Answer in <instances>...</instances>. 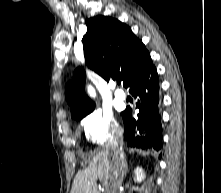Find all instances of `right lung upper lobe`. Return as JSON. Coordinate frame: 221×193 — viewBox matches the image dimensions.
Here are the masks:
<instances>
[{"label": "right lung upper lobe", "mask_w": 221, "mask_h": 193, "mask_svg": "<svg viewBox=\"0 0 221 193\" xmlns=\"http://www.w3.org/2000/svg\"><path fill=\"white\" fill-rule=\"evenodd\" d=\"M87 33L83 37L86 64L105 80L119 77L127 87L128 82L148 60L150 54L145 45L120 21L96 16L88 19ZM76 81L66 85V99L72 105V116H84L94 109V103L85 96L83 82L85 71L74 72ZM79 83V84H78Z\"/></svg>", "instance_id": "obj_1"}]
</instances>
